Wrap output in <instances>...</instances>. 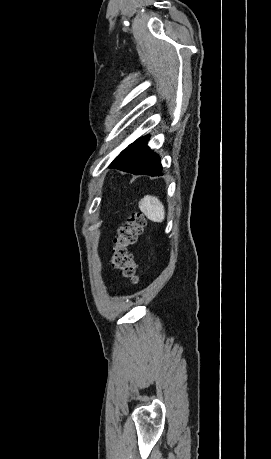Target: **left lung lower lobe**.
<instances>
[{
	"label": "left lung lower lobe",
	"mask_w": 271,
	"mask_h": 459,
	"mask_svg": "<svg viewBox=\"0 0 271 459\" xmlns=\"http://www.w3.org/2000/svg\"><path fill=\"white\" fill-rule=\"evenodd\" d=\"M150 135H146L136 140L128 146L110 164L109 168H115L136 175H162V165L160 157L149 149L147 143Z\"/></svg>",
	"instance_id": "left-lung-lower-lobe-1"
}]
</instances>
